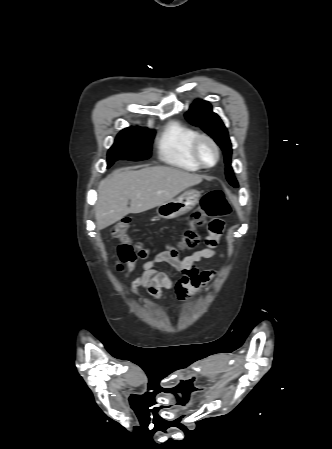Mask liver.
I'll use <instances>...</instances> for the list:
<instances>
[{
    "mask_svg": "<svg viewBox=\"0 0 332 449\" xmlns=\"http://www.w3.org/2000/svg\"><path fill=\"white\" fill-rule=\"evenodd\" d=\"M202 179L200 175L166 166L137 171L117 169L99 184L94 208L97 228L102 230L129 213H141L159 206L201 183Z\"/></svg>",
    "mask_w": 332,
    "mask_h": 449,
    "instance_id": "1",
    "label": "liver"
}]
</instances>
